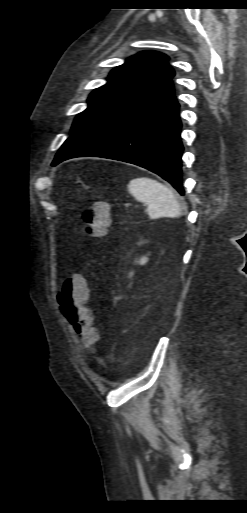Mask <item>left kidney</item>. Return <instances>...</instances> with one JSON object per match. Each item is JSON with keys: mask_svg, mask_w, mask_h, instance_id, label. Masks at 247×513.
Wrapping results in <instances>:
<instances>
[{"mask_svg": "<svg viewBox=\"0 0 247 513\" xmlns=\"http://www.w3.org/2000/svg\"><path fill=\"white\" fill-rule=\"evenodd\" d=\"M147 261H148V258L146 256H143L139 261H136V262L139 263L140 265H144V264H146ZM132 275H133V272H130L129 277H132Z\"/></svg>", "mask_w": 247, "mask_h": 513, "instance_id": "left-kidney-1", "label": "left kidney"}]
</instances>
